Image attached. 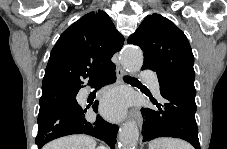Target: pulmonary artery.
<instances>
[{
    "label": "pulmonary artery",
    "instance_id": "obj_1",
    "mask_svg": "<svg viewBox=\"0 0 227 149\" xmlns=\"http://www.w3.org/2000/svg\"><path fill=\"white\" fill-rule=\"evenodd\" d=\"M139 78L142 79V80H146L151 89L155 92V93H159V82L157 80V78L152 74L150 73L148 70H141L140 73H139Z\"/></svg>",
    "mask_w": 227,
    "mask_h": 149
}]
</instances>
